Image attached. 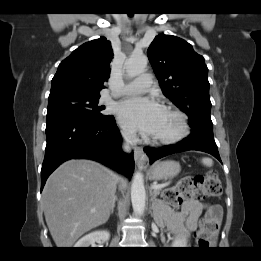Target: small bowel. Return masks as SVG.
I'll list each match as a JSON object with an SVG mask.
<instances>
[{"mask_svg":"<svg viewBox=\"0 0 261 261\" xmlns=\"http://www.w3.org/2000/svg\"><path fill=\"white\" fill-rule=\"evenodd\" d=\"M204 210L207 216L213 218L216 222L221 220L222 210L218 205L204 204L197 200H187L179 212L165 208V211L170 216L167 223L168 228L175 234H181L184 230L193 232L197 229L198 219Z\"/></svg>","mask_w":261,"mask_h":261,"instance_id":"1","label":"small bowel"}]
</instances>
